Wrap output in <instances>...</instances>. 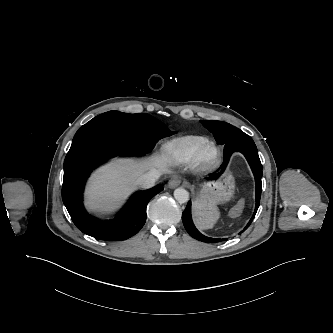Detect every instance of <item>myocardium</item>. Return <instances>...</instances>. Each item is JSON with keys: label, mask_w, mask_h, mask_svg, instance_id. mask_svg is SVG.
I'll use <instances>...</instances> for the list:
<instances>
[{"label": "myocardium", "mask_w": 333, "mask_h": 333, "mask_svg": "<svg viewBox=\"0 0 333 333\" xmlns=\"http://www.w3.org/2000/svg\"><path fill=\"white\" fill-rule=\"evenodd\" d=\"M209 152L212 154L209 155ZM221 152L218 148V146L213 142H207L199 151L196 159L195 164L200 169H208L212 166H214L219 158H220Z\"/></svg>", "instance_id": "myocardium-1"}]
</instances>
